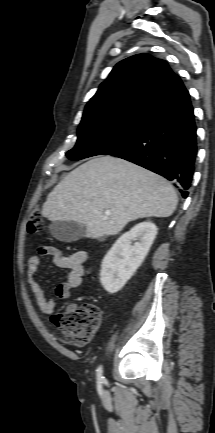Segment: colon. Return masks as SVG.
<instances>
[{
    "label": "colon",
    "mask_w": 215,
    "mask_h": 433,
    "mask_svg": "<svg viewBox=\"0 0 215 433\" xmlns=\"http://www.w3.org/2000/svg\"><path fill=\"white\" fill-rule=\"evenodd\" d=\"M44 222L41 210L36 206L27 222V231L36 234L43 230ZM53 323L74 343L88 344L95 336L100 324V310L96 304L83 303L78 308L60 312L53 316Z\"/></svg>",
    "instance_id": "5ec220e1"
}]
</instances>
